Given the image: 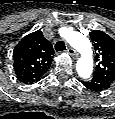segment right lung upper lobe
<instances>
[{"label": "right lung upper lobe", "instance_id": "1", "mask_svg": "<svg viewBox=\"0 0 115 119\" xmlns=\"http://www.w3.org/2000/svg\"><path fill=\"white\" fill-rule=\"evenodd\" d=\"M53 54L51 43L41 31L26 35L13 51V67L18 80L30 84L39 81L50 68Z\"/></svg>", "mask_w": 115, "mask_h": 119}]
</instances>
